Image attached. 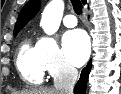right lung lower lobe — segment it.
<instances>
[{
  "label": "right lung lower lobe",
  "instance_id": "obj_1",
  "mask_svg": "<svg viewBox=\"0 0 121 94\" xmlns=\"http://www.w3.org/2000/svg\"><path fill=\"white\" fill-rule=\"evenodd\" d=\"M90 70H91V61L87 64L85 68H83L81 72L80 79L74 88L75 94H85L86 82H87V78H88Z\"/></svg>",
  "mask_w": 121,
  "mask_h": 94
}]
</instances>
